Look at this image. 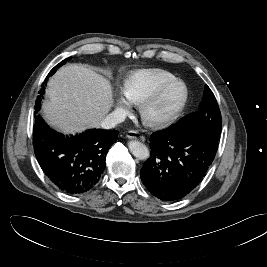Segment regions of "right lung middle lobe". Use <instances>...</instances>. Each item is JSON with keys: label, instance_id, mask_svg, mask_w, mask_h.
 <instances>
[{"label": "right lung middle lobe", "instance_id": "1", "mask_svg": "<svg viewBox=\"0 0 267 267\" xmlns=\"http://www.w3.org/2000/svg\"><path fill=\"white\" fill-rule=\"evenodd\" d=\"M69 59H70V58H69ZM65 62H66V60H63V61L60 62L58 65H56V66L49 72L47 78H49V76L53 75V74L56 72V69L59 68L61 65H63ZM47 78H46L45 82L43 83L42 88H41V90H40V92H39L40 97L38 96V100H36V103H35L36 112H35V113H37V111H38L39 108H40V101H41V97H42L43 94L45 93V91H44V90H45L44 85L47 83V82H46V81H47Z\"/></svg>", "mask_w": 267, "mask_h": 267}]
</instances>
